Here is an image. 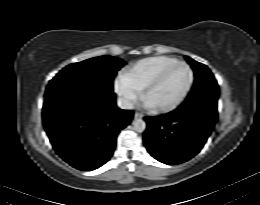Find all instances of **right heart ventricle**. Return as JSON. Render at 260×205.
<instances>
[{"mask_svg":"<svg viewBox=\"0 0 260 205\" xmlns=\"http://www.w3.org/2000/svg\"><path fill=\"white\" fill-rule=\"evenodd\" d=\"M178 60L171 56H151L135 63L123 74V78L133 87L142 90L158 71Z\"/></svg>","mask_w":260,"mask_h":205,"instance_id":"right-heart-ventricle-1","label":"right heart ventricle"}]
</instances>
